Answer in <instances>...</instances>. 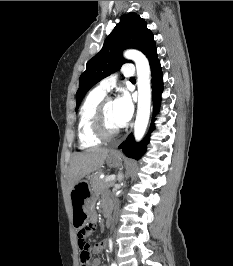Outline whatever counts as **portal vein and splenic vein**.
Wrapping results in <instances>:
<instances>
[{
  "instance_id": "18ae733b",
  "label": "portal vein and splenic vein",
  "mask_w": 233,
  "mask_h": 266,
  "mask_svg": "<svg viewBox=\"0 0 233 266\" xmlns=\"http://www.w3.org/2000/svg\"><path fill=\"white\" fill-rule=\"evenodd\" d=\"M116 178V175L112 174V175H108L105 178V182H110L113 181Z\"/></svg>"
}]
</instances>
